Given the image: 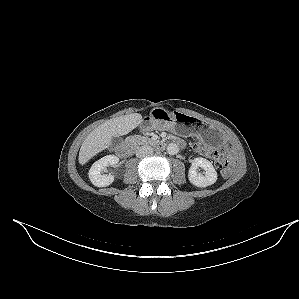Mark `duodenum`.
<instances>
[{
  "label": "duodenum",
  "instance_id": "1",
  "mask_svg": "<svg viewBox=\"0 0 299 299\" xmlns=\"http://www.w3.org/2000/svg\"><path fill=\"white\" fill-rule=\"evenodd\" d=\"M175 144L180 146L179 142H177V141H175ZM154 147L156 149H159V150L163 149L165 147V143L164 142H157V143L154 144ZM132 149H133L132 144L123 143V144H121L117 147V153H118L119 156L125 158V157H128V156L131 155Z\"/></svg>",
  "mask_w": 299,
  "mask_h": 299
}]
</instances>
